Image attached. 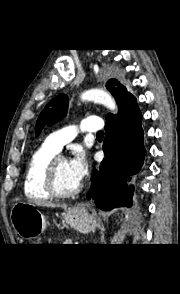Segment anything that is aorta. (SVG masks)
<instances>
[{
  "instance_id": "1",
  "label": "aorta",
  "mask_w": 180,
  "mask_h": 294,
  "mask_svg": "<svg viewBox=\"0 0 180 294\" xmlns=\"http://www.w3.org/2000/svg\"><path fill=\"white\" fill-rule=\"evenodd\" d=\"M83 101H93L99 104H102L108 108L111 112H117V104L114 98L106 91L101 89H91L85 91L80 96Z\"/></svg>"
}]
</instances>
